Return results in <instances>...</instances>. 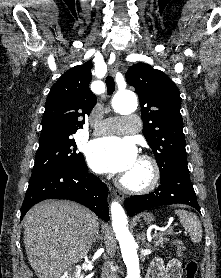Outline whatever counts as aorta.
I'll return each mask as SVG.
<instances>
[{
  "label": "aorta",
  "instance_id": "aorta-1",
  "mask_svg": "<svg viewBox=\"0 0 221 278\" xmlns=\"http://www.w3.org/2000/svg\"><path fill=\"white\" fill-rule=\"evenodd\" d=\"M112 106L116 112L121 114L132 112L137 107L136 96L130 91L118 93L112 100ZM111 216L113 231L119 241L121 254L127 267L126 278H140L137 244L128 229V220L124 209L116 201L111 203Z\"/></svg>",
  "mask_w": 221,
  "mask_h": 278
}]
</instances>
